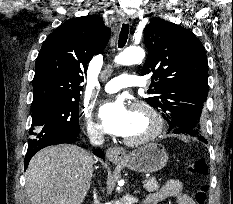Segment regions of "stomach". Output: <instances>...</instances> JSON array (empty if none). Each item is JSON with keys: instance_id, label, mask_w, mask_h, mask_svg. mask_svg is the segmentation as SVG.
I'll return each mask as SVG.
<instances>
[{"instance_id": "1", "label": "stomach", "mask_w": 233, "mask_h": 204, "mask_svg": "<svg viewBox=\"0 0 233 204\" xmlns=\"http://www.w3.org/2000/svg\"><path fill=\"white\" fill-rule=\"evenodd\" d=\"M167 161L168 154L165 148L157 143H149L126 155L116 163L133 171L153 173L163 169Z\"/></svg>"}]
</instances>
